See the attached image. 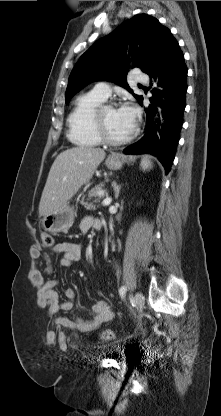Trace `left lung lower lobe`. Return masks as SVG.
Here are the masks:
<instances>
[{"mask_svg": "<svg viewBox=\"0 0 221 416\" xmlns=\"http://www.w3.org/2000/svg\"><path fill=\"white\" fill-rule=\"evenodd\" d=\"M187 67L177 40L168 30L154 53L146 74L153 78L158 88H153L151 104L145 108L147 123L157 112V106L163 109L162 120H156L153 130L147 127L146 134L138 142L124 149L125 154H152L165 168L171 169L186 106ZM143 106V98L139 102Z\"/></svg>", "mask_w": 221, "mask_h": 416, "instance_id": "0a47b994", "label": "left lung lower lobe"}]
</instances>
